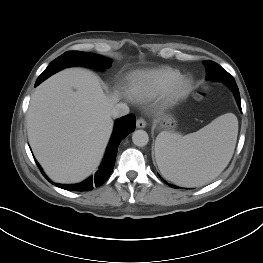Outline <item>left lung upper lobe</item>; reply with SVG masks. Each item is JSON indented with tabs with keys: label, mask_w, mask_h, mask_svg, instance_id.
Returning a JSON list of instances; mask_svg holds the SVG:
<instances>
[{
	"label": "left lung upper lobe",
	"mask_w": 263,
	"mask_h": 263,
	"mask_svg": "<svg viewBox=\"0 0 263 263\" xmlns=\"http://www.w3.org/2000/svg\"><path fill=\"white\" fill-rule=\"evenodd\" d=\"M215 73V76L211 78L213 81H221L225 83H227L228 81H235L234 78L222 67L219 70L215 71Z\"/></svg>",
	"instance_id": "obj_1"
}]
</instances>
